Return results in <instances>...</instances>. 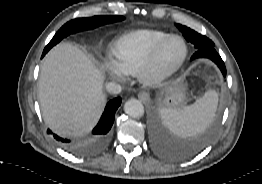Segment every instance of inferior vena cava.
Wrapping results in <instances>:
<instances>
[{
    "label": "inferior vena cava",
    "instance_id": "obj_1",
    "mask_svg": "<svg viewBox=\"0 0 262 184\" xmlns=\"http://www.w3.org/2000/svg\"><path fill=\"white\" fill-rule=\"evenodd\" d=\"M106 90L110 94H119L122 91V87L115 82H109L106 84Z\"/></svg>",
    "mask_w": 262,
    "mask_h": 184
}]
</instances>
